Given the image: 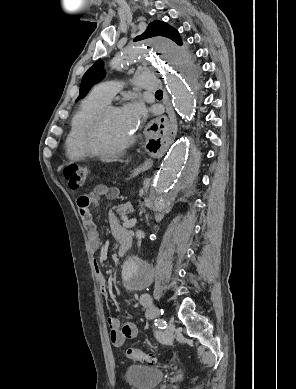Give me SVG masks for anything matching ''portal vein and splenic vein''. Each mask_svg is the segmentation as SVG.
<instances>
[{
    "label": "portal vein and splenic vein",
    "instance_id": "1",
    "mask_svg": "<svg viewBox=\"0 0 296 389\" xmlns=\"http://www.w3.org/2000/svg\"><path fill=\"white\" fill-rule=\"evenodd\" d=\"M136 224V219H131V220H125L123 225L127 228H132Z\"/></svg>",
    "mask_w": 296,
    "mask_h": 389
}]
</instances>
